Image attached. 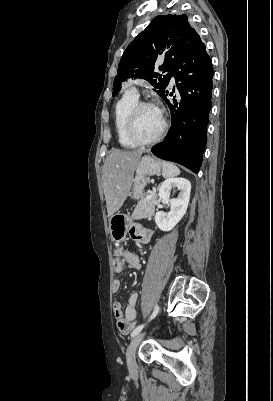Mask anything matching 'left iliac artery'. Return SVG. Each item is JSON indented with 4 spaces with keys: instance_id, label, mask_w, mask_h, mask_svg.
Instances as JSON below:
<instances>
[{
    "instance_id": "obj_1",
    "label": "left iliac artery",
    "mask_w": 273,
    "mask_h": 401,
    "mask_svg": "<svg viewBox=\"0 0 273 401\" xmlns=\"http://www.w3.org/2000/svg\"><path fill=\"white\" fill-rule=\"evenodd\" d=\"M158 312H159V307H158V305L156 304V305H155V308H154V311H153V313H152V315H151V317H150V320L153 319V318L158 314ZM143 327H144V324L139 325L138 327H136V328L134 329V331L131 333V336H132V337L136 336L138 333H140V331L143 329Z\"/></svg>"
}]
</instances>
